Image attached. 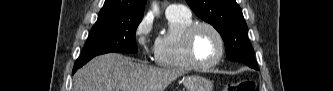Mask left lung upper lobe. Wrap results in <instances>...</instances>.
<instances>
[{"instance_id":"5c2ea615","label":"left lung upper lobe","mask_w":333,"mask_h":91,"mask_svg":"<svg viewBox=\"0 0 333 91\" xmlns=\"http://www.w3.org/2000/svg\"><path fill=\"white\" fill-rule=\"evenodd\" d=\"M186 1L198 17L221 34L227 59L244 62L248 66L253 64L254 50L248 41L247 25L235 0Z\"/></svg>"}]
</instances>
